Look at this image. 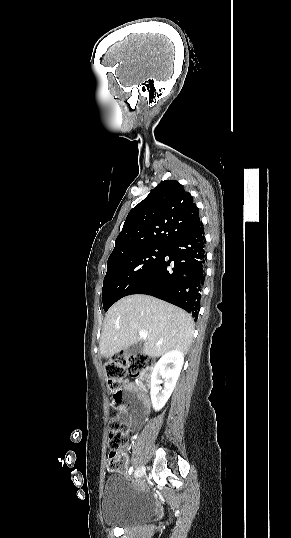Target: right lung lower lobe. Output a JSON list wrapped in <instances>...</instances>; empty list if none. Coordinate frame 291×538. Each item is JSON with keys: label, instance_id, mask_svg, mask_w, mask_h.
Listing matches in <instances>:
<instances>
[{"label": "right lung lower lobe", "instance_id": "98d812e1", "mask_svg": "<svg viewBox=\"0 0 291 538\" xmlns=\"http://www.w3.org/2000/svg\"><path fill=\"white\" fill-rule=\"evenodd\" d=\"M205 238L200 223L168 246L165 255L131 294H146L198 317L205 279Z\"/></svg>", "mask_w": 291, "mask_h": 538}]
</instances>
